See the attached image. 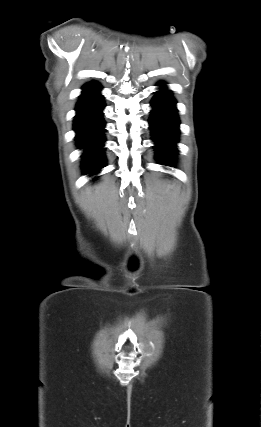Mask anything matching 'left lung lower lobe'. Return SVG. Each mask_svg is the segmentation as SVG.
Returning <instances> with one entry per match:
<instances>
[{
    "instance_id": "1",
    "label": "left lung lower lobe",
    "mask_w": 261,
    "mask_h": 427,
    "mask_svg": "<svg viewBox=\"0 0 261 427\" xmlns=\"http://www.w3.org/2000/svg\"><path fill=\"white\" fill-rule=\"evenodd\" d=\"M176 101L169 90L158 91L151 104L152 115L149 119L152 139L155 141L156 157L162 162L176 155L175 143L179 134V119L175 108Z\"/></svg>"
}]
</instances>
